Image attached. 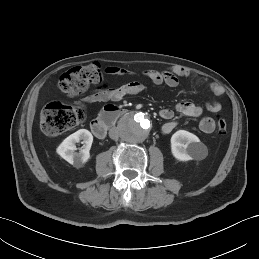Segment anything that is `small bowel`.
Here are the masks:
<instances>
[{"label": "small bowel", "mask_w": 259, "mask_h": 259, "mask_svg": "<svg viewBox=\"0 0 259 259\" xmlns=\"http://www.w3.org/2000/svg\"><path fill=\"white\" fill-rule=\"evenodd\" d=\"M106 72L115 76H127L130 74L128 70L118 66L108 67ZM143 75L156 86L166 85L171 88L177 87L179 79L183 77L193 76L200 81L204 80L183 66H173L165 71L147 70ZM143 90L144 85L138 81H131L119 86H112L105 83L84 97L81 104L86 105L107 101L115 102L126 96L138 94ZM211 90L216 95H222L224 93L223 87L217 83L211 84ZM206 108L210 112H218L221 109V104L217 101L210 102L206 104ZM176 111L186 117H199L203 113V108L189 101H181L176 105ZM159 114L161 118L167 120L162 126L161 131L164 134H169L177 124L176 121L173 120L174 112L171 109L165 108L162 109ZM215 127V122L210 117H203L199 122V128L205 134L213 133Z\"/></svg>", "instance_id": "small-bowel-1"}]
</instances>
